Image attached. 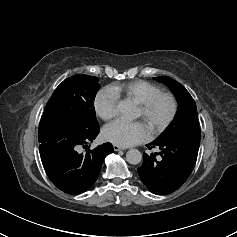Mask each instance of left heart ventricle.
Wrapping results in <instances>:
<instances>
[{
	"instance_id": "obj_1",
	"label": "left heart ventricle",
	"mask_w": 237,
	"mask_h": 237,
	"mask_svg": "<svg viewBox=\"0 0 237 237\" xmlns=\"http://www.w3.org/2000/svg\"><path fill=\"white\" fill-rule=\"evenodd\" d=\"M170 109L171 104L168 99L163 98L159 100L154 106L149 119L144 121L146 127L151 130L153 125L161 122L168 116ZM136 117H141V112L138 107L136 108Z\"/></svg>"
}]
</instances>
